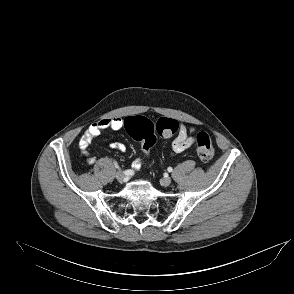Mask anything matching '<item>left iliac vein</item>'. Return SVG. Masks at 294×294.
<instances>
[{
  "label": "left iliac vein",
  "mask_w": 294,
  "mask_h": 294,
  "mask_svg": "<svg viewBox=\"0 0 294 294\" xmlns=\"http://www.w3.org/2000/svg\"><path fill=\"white\" fill-rule=\"evenodd\" d=\"M171 178L169 177H164L160 180V183L162 186H169L171 184Z\"/></svg>",
  "instance_id": "4c4485c4"
}]
</instances>
